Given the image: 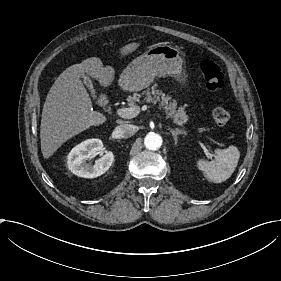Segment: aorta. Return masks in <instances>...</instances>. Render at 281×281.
<instances>
[{
	"mask_svg": "<svg viewBox=\"0 0 281 281\" xmlns=\"http://www.w3.org/2000/svg\"><path fill=\"white\" fill-rule=\"evenodd\" d=\"M144 144L149 150H158L162 145V137L156 133H149L144 139Z\"/></svg>",
	"mask_w": 281,
	"mask_h": 281,
	"instance_id": "obj_1",
	"label": "aorta"
}]
</instances>
